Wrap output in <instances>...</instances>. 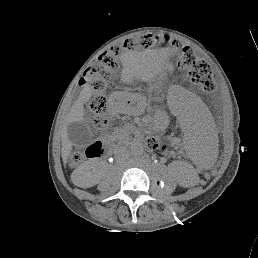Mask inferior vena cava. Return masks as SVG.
<instances>
[{"instance_id":"602c4592","label":"inferior vena cava","mask_w":258,"mask_h":258,"mask_svg":"<svg viewBox=\"0 0 258 258\" xmlns=\"http://www.w3.org/2000/svg\"><path fill=\"white\" fill-rule=\"evenodd\" d=\"M124 152H125L124 149L119 150V154H122V153H124Z\"/></svg>"}]
</instances>
